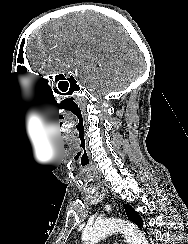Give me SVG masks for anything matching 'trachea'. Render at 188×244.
Listing matches in <instances>:
<instances>
[{
	"mask_svg": "<svg viewBox=\"0 0 188 244\" xmlns=\"http://www.w3.org/2000/svg\"><path fill=\"white\" fill-rule=\"evenodd\" d=\"M83 184H84V187L86 188L87 191H90V190H91V187L89 186L87 180H84V181H83Z\"/></svg>",
	"mask_w": 188,
	"mask_h": 244,
	"instance_id": "obj_1",
	"label": "trachea"
}]
</instances>
